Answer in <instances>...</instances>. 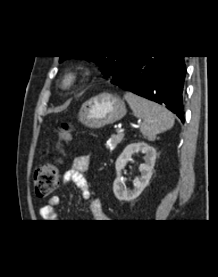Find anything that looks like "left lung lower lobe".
<instances>
[{
	"label": "left lung lower lobe",
	"instance_id": "obj_1",
	"mask_svg": "<svg viewBox=\"0 0 218 277\" xmlns=\"http://www.w3.org/2000/svg\"><path fill=\"white\" fill-rule=\"evenodd\" d=\"M184 56L135 55L111 83L166 106L184 122Z\"/></svg>",
	"mask_w": 218,
	"mask_h": 277
}]
</instances>
